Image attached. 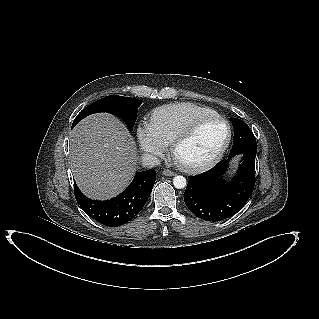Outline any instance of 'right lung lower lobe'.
<instances>
[{"label": "right lung lower lobe", "mask_w": 319, "mask_h": 319, "mask_svg": "<svg viewBox=\"0 0 319 319\" xmlns=\"http://www.w3.org/2000/svg\"><path fill=\"white\" fill-rule=\"evenodd\" d=\"M155 180L154 169L140 172L124 192L106 201L85 197L75 183L74 194L79 205L89 216L105 226L117 227L131 221L142 210Z\"/></svg>", "instance_id": "98d812e1"}]
</instances>
